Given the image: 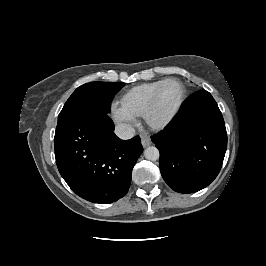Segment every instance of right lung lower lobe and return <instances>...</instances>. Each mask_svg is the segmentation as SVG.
<instances>
[{
  "instance_id": "right-lung-lower-lobe-1",
  "label": "right lung lower lobe",
  "mask_w": 266,
  "mask_h": 266,
  "mask_svg": "<svg viewBox=\"0 0 266 266\" xmlns=\"http://www.w3.org/2000/svg\"><path fill=\"white\" fill-rule=\"evenodd\" d=\"M113 131L106 112L85 108L55 133L61 176L78 196L93 203H112L127 193L143 151L138 136L121 140Z\"/></svg>"
}]
</instances>
